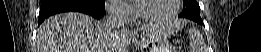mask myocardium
<instances>
[{
  "label": "myocardium",
  "instance_id": "obj_1",
  "mask_svg": "<svg viewBox=\"0 0 261 52\" xmlns=\"http://www.w3.org/2000/svg\"><path fill=\"white\" fill-rule=\"evenodd\" d=\"M141 1H146V0H141ZM138 2L139 1L131 2L132 12L134 14L135 19L138 22H144L150 24H162L173 20L178 15L180 4H181V0H173V8L168 14L161 17L153 18V17L143 16L139 13L138 4H137Z\"/></svg>",
  "mask_w": 261,
  "mask_h": 52
}]
</instances>
